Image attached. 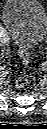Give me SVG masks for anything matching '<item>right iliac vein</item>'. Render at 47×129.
I'll return each instance as SVG.
<instances>
[{
    "label": "right iliac vein",
    "instance_id": "1",
    "mask_svg": "<svg viewBox=\"0 0 47 129\" xmlns=\"http://www.w3.org/2000/svg\"><path fill=\"white\" fill-rule=\"evenodd\" d=\"M2 43H3V45H7L8 44V39L3 41Z\"/></svg>",
    "mask_w": 47,
    "mask_h": 129
}]
</instances>
